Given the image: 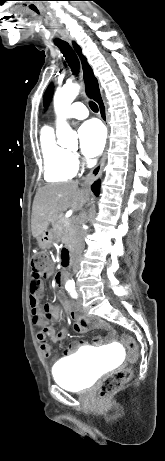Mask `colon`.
I'll use <instances>...</instances> for the list:
<instances>
[{"label":"colon","instance_id":"obj_1","mask_svg":"<svg viewBox=\"0 0 165 461\" xmlns=\"http://www.w3.org/2000/svg\"><path fill=\"white\" fill-rule=\"evenodd\" d=\"M31 290L40 295L41 279L51 272L49 258L43 253H37L33 256L31 263ZM122 343L128 350V360L131 364L137 362L139 358V351L134 338L130 335L123 334L121 336ZM132 377V369L130 367H123L114 373L107 375L101 382L99 387V395L102 399L110 397L113 393L117 392L122 386L127 383Z\"/></svg>","mask_w":165,"mask_h":461}]
</instances>
